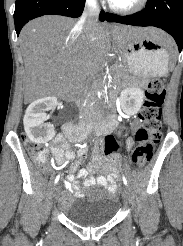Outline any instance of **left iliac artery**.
Wrapping results in <instances>:
<instances>
[{
	"mask_svg": "<svg viewBox=\"0 0 183 246\" xmlns=\"http://www.w3.org/2000/svg\"><path fill=\"white\" fill-rule=\"evenodd\" d=\"M123 182H124V184L127 186V179L125 178V176L123 175Z\"/></svg>",
	"mask_w": 183,
	"mask_h": 246,
	"instance_id": "44dca946",
	"label": "left iliac artery"
}]
</instances>
